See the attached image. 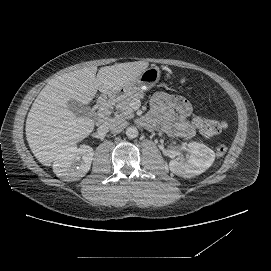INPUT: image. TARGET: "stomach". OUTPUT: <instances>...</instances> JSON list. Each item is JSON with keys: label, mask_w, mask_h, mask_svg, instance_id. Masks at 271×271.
I'll use <instances>...</instances> for the list:
<instances>
[{"label": "stomach", "mask_w": 271, "mask_h": 271, "mask_svg": "<svg viewBox=\"0 0 271 271\" xmlns=\"http://www.w3.org/2000/svg\"><path fill=\"white\" fill-rule=\"evenodd\" d=\"M161 76L159 67H150L145 69L134 81L118 91L111 92V95L117 101L124 98L127 94L143 93L150 90L158 83Z\"/></svg>", "instance_id": "0dacf381"}]
</instances>
